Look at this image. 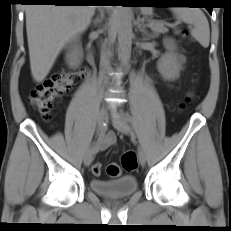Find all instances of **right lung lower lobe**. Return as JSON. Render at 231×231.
<instances>
[{
	"instance_id": "98d812e1",
	"label": "right lung lower lobe",
	"mask_w": 231,
	"mask_h": 231,
	"mask_svg": "<svg viewBox=\"0 0 231 231\" xmlns=\"http://www.w3.org/2000/svg\"><path fill=\"white\" fill-rule=\"evenodd\" d=\"M27 3H50L54 5H80L78 2H73L77 0H23Z\"/></svg>"
}]
</instances>
